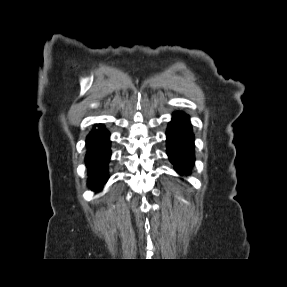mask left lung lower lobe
I'll return each mask as SVG.
<instances>
[{
  "label": "left lung lower lobe",
  "mask_w": 287,
  "mask_h": 287,
  "mask_svg": "<svg viewBox=\"0 0 287 287\" xmlns=\"http://www.w3.org/2000/svg\"><path fill=\"white\" fill-rule=\"evenodd\" d=\"M167 155L180 175L190 174L194 165V135L189 116L174 112L167 128Z\"/></svg>",
  "instance_id": "obj_1"
}]
</instances>
